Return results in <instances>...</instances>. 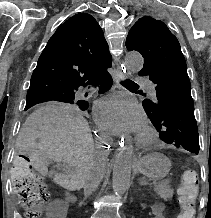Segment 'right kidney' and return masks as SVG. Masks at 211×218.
Returning a JSON list of instances; mask_svg holds the SVG:
<instances>
[{
  "label": "right kidney",
  "mask_w": 211,
  "mask_h": 218,
  "mask_svg": "<svg viewBox=\"0 0 211 218\" xmlns=\"http://www.w3.org/2000/svg\"><path fill=\"white\" fill-rule=\"evenodd\" d=\"M50 205L46 209L49 218H66L67 206H62V201H51Z\"/></svg>",
  "instance_id": "obj_1"
}]
</instances>
